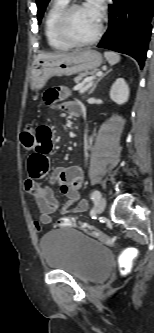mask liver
Instances as JSON below:
<instances>
[{"instance_id": "1", "label": "liver", "mask_w": 154, "mask_h": 333, "mask_svg": "<svg viewBox=\"0 0 154 333\" xmlns=\"http://www.w3.org/2000/svg\"><path fill=\"white\" fill-rule=\"evenodd\" d=\"M70 54H73V53H70ZM70 54H67V53H40L35 58L33 64L35 65L37 62H39L41 60L57 59V58H61V57H64V56H67Z\"/></svg>"}]
</instances>
